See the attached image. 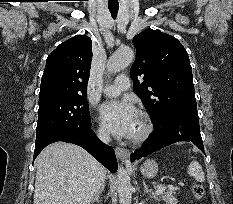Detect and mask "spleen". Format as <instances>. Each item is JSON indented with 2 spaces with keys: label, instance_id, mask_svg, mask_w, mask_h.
I'll list each match as a JSON object with an SVG mask.
<instances>
[{
  "label": "spleen",
  "instance_id": "obj_1",
  "mask_svg": "<svg viewBox=\"0 0 233 204\" xmlns=\"http://www.w3.org/2000/svg\"><path fill=\"white\" fill-rule=\"evenodd\" d=\"M188 173L198 182H204L205 175L201 165L197 161H192L188 166Z\"/></svg>",
  "mask_w": 233,
  "mask_h": 204
}]
</instances>
